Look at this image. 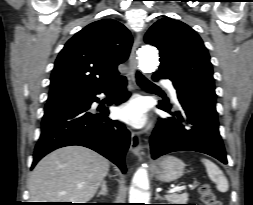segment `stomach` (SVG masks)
Listing matches in <instances>:
<instances>
[{
    "label": "stomach",
    "instance_id": "stomach-1",
    "mask_svg": "<svg viewBox=\"0 0 253 205\" xmlns=\"http://www.w3.org/2000/svg\"><path fill=\"white\" fill-rule=\"evenodd\" d=\"M184 168L185 164L180 159L167 156L154 167L153 171L159 180L170 182L180 178Z\"/></svg>",
    "mask_w": 253,
    "mask_h": 205
}]
</instances>
